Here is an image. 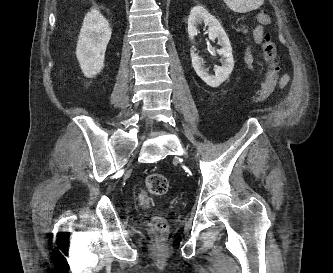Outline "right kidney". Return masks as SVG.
<instances>
[{"instance_id": "ca27d5eb", "label": "right kidney", "mask_w": 333, "mask_h": 273, "mask_svg": "<svg viewBox=\"0 0 333 273\" xmlns=\"http://www.w3.org/2000/svg\"><path fill=\"white\" fill-rule=\"evenodd\" d=\"M111 28L101 13L92 9L84 18L77 42L76 56L84 75L91 78L104 67V56Z\"/></svg>"}]
</instances>
